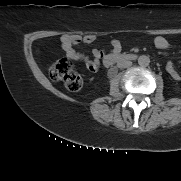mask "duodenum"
Returning <instances> with one entry per match:
<instances>
[{"label": "duodenum", "mask_w": 181, "mask_h": 181, "mask_svg": "<svg viewBox=\"0 0 181 181\" xmlns=\"http://www.w3.org/2000/svg\"><path fill=\"white\" fill-rule=\"evenodd\" d=\"M135 55L133 54H122V55H108L105 60L104 63L106 66H113L116 64H123L127 61L133 60L135 59Z\"/></svg>", "instance_id": "410a0bca"}]
</instances>
